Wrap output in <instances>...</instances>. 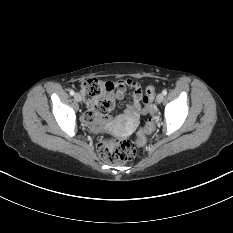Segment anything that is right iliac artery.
<instances>
[{
    "label": "right iliac artery",
    "instance_id": "82829eb1",
    "mask_svg": "<svg viewBox=\"0 0 233 233\" xmlns=\"http://www.w3.org/2000/svg\"><path fill=\"white\" fill-rule=\"evenodd\" d=\"M69 93H70V95H72V96L75 94V92H74L73 90H70Z\"/></svg>",
    "mask_w": 233,
    "mask_h": 233
}]
</instances>
